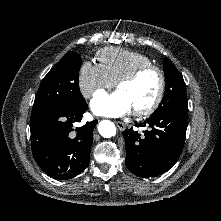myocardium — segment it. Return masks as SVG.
Wrapping results in <instances>:
<instances>
[{"label": "myocardium", "mask_w": 221, "mask_h": 221, "mask_svg": "<svg viewBox=\"0 0 221 221\" xmlns=\"http://www.w3.org/2000/svg\"><path fill=\"white\" fill-rule=\"evenodd\" d=\"M148 71H154L158 74L159 76V90L157 93L156 98L154 101L147 106L146 108L139 109V110H134V114L136 116L142 117V116H148L151 115L153 112H155L158 107L160 106L164 95H165V90H166V76L164 71L157 65L154 64H145V65H140L130 71L129 73L125 74L122 76L120 79L117 80L116 82V88H119L120 86L131 83L138 79L141 75Z\"/></svg>", "instance_id": "myocardium-1"}]
</instances>
